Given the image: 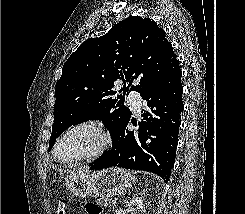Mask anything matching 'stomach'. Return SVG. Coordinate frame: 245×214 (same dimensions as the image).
Here are the masks:
<instances>
[{
	"label": "stomach",
	"instance_id": "0dacf381",
	"mask_svg": "<svg viewBox=\"0 0 245 214\" xmlns=\"http://www.w3.org/2000/svg\"><path fill=\"white\" fill-rule=\"evenodd\" d=\"M134 183L135 177L130 171L115 167L90 174L75 171L68 176L66 186L73 195L80 198L112 197L127 192Z\"/></svg>",
	"mask_w": 245,
	"mask_h": 214
}]
</instances>
